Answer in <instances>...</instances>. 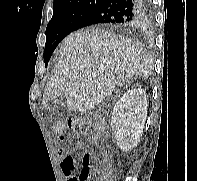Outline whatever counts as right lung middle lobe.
Returning <instances> with one entry per match:
<instances>
[{
    "mask_svg": "<svg viewBox=\"0 0 197 181\" xmlns=\"http://www.w3.org/2000/svg\"><path fill=\"white\" fill-rule=\"evenodd\" d=\"M95 6V4H83L74 8L53 12L52 19L46 28L47 39L43 54L46 66L53 51L62 39L73 32L81 18Z\"/></svg>",
    "mask_w": 197,
    "mask_h": 181,
    "instance_id": "1",
    "label": "right lung middle lobe"
}]
</instances>
